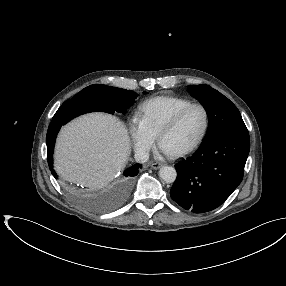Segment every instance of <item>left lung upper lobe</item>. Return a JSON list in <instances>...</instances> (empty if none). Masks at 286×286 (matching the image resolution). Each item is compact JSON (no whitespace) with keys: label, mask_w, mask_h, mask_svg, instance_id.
Returning <instances> with one entry per match:
<instances>
[{"label":"left lung upper lobe","mask_w":286,"mask_h":286,"mask_svg":"<svg viewBox=\"0 0 286 286\" xmlns=\"http://www.w3.org/2000/svg\"><path fill=\"white\" fill-rule=\"evenodd\" d=\"M188 91L206 110L209 126L203 141L225 133H248L237 107L208 85H189Z\"/></svg>","instance_id":"1"}]
</instances>
